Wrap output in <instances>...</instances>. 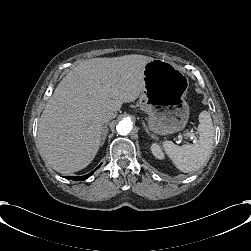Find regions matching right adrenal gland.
<instances>
[{"mask_svg":"<svg viewBox=\"0 0 251 251\" xmlns=\"http://www.w3.org/2000/svg\"><path fill=\"white\" fill-rule=\"evenodd\" d=\"M108 131H109V128H108L107 125H105V126L102 127V141H101V145L104 144L105 139H106L107 134H108Z\"/></svg>","mask_w":251,"mask_h":251,"instance_id":"1","label":"right adrenal gland"}]
</instances>
